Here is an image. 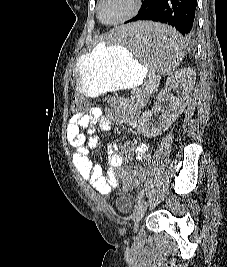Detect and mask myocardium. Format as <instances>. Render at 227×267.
I'll list each match as a JSON object with an SVG mask.
<instances>
[{"label":"myocardium","instance_id":"1","mask_svg":"<svg viewBox=\"0 0 227 267\" xmlns=\"http://www.w3.org/2000/svg\"><path fill=\"white\" fill-rule=\"evenodd\" d=\"M103 2L104 0H98L97 17L103 24L112 26V25H118V24L124 23L130 20L131 18H133L134 16H136L142 7L143 0H133L132 8L130 9V11L126 15L121 17L120 19L113 21V22L103 21L101 17V7H102Z\"/></svg>","mask_w":227,"mask_h":267}]
</instances>
